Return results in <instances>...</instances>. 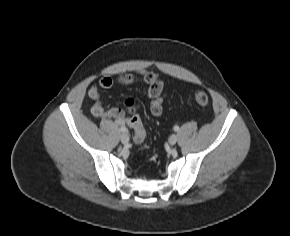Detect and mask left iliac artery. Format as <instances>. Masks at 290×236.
Masks as SVG:
<instances>
[{"label": "left iliac artery", "instance_id": "1", "mask_svg": "<svg viewBox=\"0 0 290 236\" xmlns=\"http://www.w3.org/2000/svg\"><path fill=\"white\" fill-rule=\"evenodd\" d=\"M179 130V126H174V131H178Z\"/></svg>", "mask_w": 290, "mask_h": 236}]
</instances>
